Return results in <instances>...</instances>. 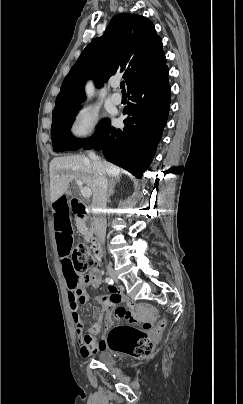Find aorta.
Listing matches in <instances>:
<instances>
[{
    "label": "aorta",
    "mask_w": 243,
    "mask_h": 404,
    "mask_svg": "<svg viewBox=\"0 0 243 404\" xmlns=\"http://www.w3.org/2000/svg\"><path fill=\"white\" fill-rule=\"evenodd\" d=\"M86 92H87L88 98H92V96H94V94H95L94 86H92V84H88V86H86Z\"/></svg>",
    "instance_id": "aorta-1"
}]
</instances>
